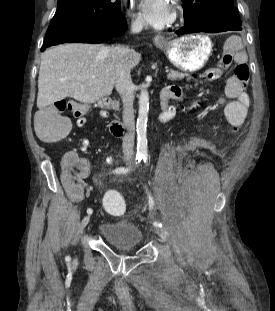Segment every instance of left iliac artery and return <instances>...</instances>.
I'll use <instances>...</instances> for the list:
<instances>
[{"mask_svg": "<svg viewBox=\"0 0 275 311\" xmlns=\"http://www.w3.org/2000/svg\"><path fill=\"white\" fill-rule=\"evenodd\" d=\"M147 159H148V155H147V153H144L143 154V160L145 163H146ZM148 197H149V208L152 209L154 207V200L150 194H148ZM153 225L156 227H162V223H160L158 221L153 222Z\"/></svg>", "mask_w": 275, "mask_h": 311, "instance_id": "left-iliac-artery-1", "label": "left iliac artery"}]
</instances>
